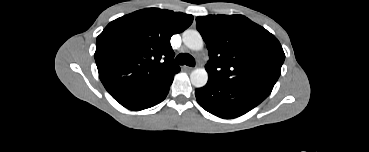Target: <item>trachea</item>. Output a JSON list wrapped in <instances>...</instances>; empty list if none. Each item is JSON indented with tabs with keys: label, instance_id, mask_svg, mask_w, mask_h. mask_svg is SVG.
Listing matches in <instances>:
<instances>
[{
	"label": "trachea",
	"instance_id": "trachea-1",
	"mask_svg": "<svg viewBox=\"0 0 369 152\" xmlns=\"http://www.w3.org/2000/svg\"><path fill=\"white\" fill-rule=\"evenodd\" d=\"M175 63L178 65H188V66H195V59L188 53H181L179 54L176 59Z\"/></svg>",
	"mask_w": 369,
	"mask_h": 152
}]
</instances>
